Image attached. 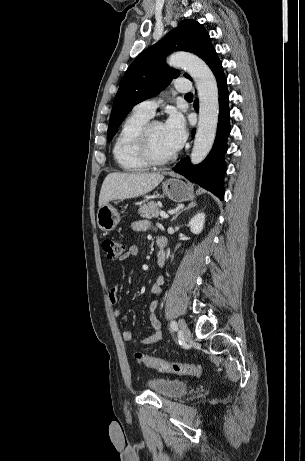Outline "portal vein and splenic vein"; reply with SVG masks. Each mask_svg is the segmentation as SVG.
I'll list each match as a JSON object with an SVG mask.
<instances>
[{
    "label": "portal vein and splenic vein",
    "instance_id": "obj_1",
    "mask_svg": "<svg viewBox=\"0 0 305 461\" xmlns=\"http://www.w3.org/2000/svg\"><path fill=\"white\" fill-rule=\"evenodd\" d=\"M159 215H160L161 218H165V219L169 217L168 214L165 213L164 211H161V212L159 213Z\"/></svg>",
    "mask_w": 305,
    "mask_h": 461
}]
</instances>
